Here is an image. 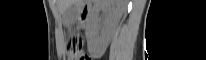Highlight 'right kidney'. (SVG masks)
I'll use <instances>...</instances> for the list:
<instances>
[{
    "instance_id": "obj_1",
    "label": "right kidney",
    "mask_w": 206,
    "mask_h": 60,
    "mask_svg": "<svg viewBox=\"0 0 206 60\" xmlns=\"http://www.w3.org/2000/svg\"><path fill=\"white\" fill-rule=\"evenodd\" d=\"M100 11L107 14L104 24L99 25ZM122 14L121 3L118 0H102L98 2L94 9V14L89 30V43L91 46L105 50L109 44L110 37ZM101 35L98 36V31Z\"/></svg>"
}]
</instances>
